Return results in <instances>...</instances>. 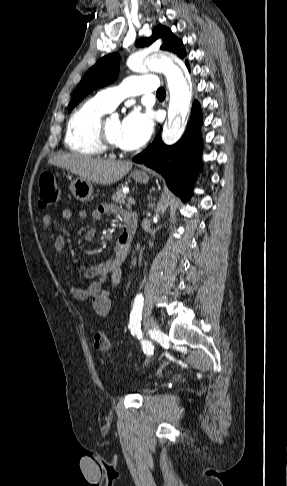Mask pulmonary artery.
I'll use <instances>...</instances> for the list:
<instances>
[{
  "label": "pulmonary artery",
  "instance_id": "pulmonary-artery-1",
  "mask_svg": "<svg viewBox=\"0 0 287 486\" xmlns=\"http://www.w3.org/2000/svg\"><path fill=\"white\" fill-rule=\"evenodd\" d=\"M158 87V79L154 75L130 77L119 86L99 91L95 98L112 110L126 97L154 92Z\"/></svg>",
  "mask_w": 287,
  "mask_h": 486
}]
</instances>
